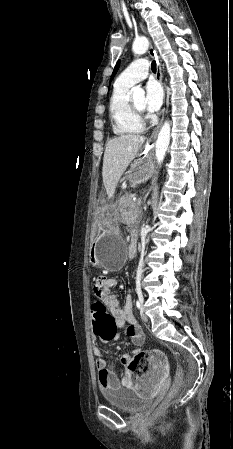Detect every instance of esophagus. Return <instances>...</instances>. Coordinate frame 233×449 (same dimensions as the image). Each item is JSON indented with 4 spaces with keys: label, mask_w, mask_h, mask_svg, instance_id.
<instances>
[{
    "label": "esophagus",
    "mask_w": 233,
    "mask_h": 449,
    "mask_svg": "<svg viewBox=\"0 0 233 449\" xmlns=\"http://www.w3.org/2000/svg\"><path fill=\"white\" fill-rule=\"evenodd\" d=\"M139 26H140V28H141L143 31H145V28H144V26L142 25V23H140ZM149 54H150V56H151V57L156 61V63H157V74H156V77H157L158 81L160 82V84L163 86L161 63H160V61H159V59H158V56H157L156 51L154 50V48H153L152 46L149 48ZM162 122H163V117H162V119L160 120V123H159L158 126L156 127L155 131L153 132V134H152L151 139H150L149 142H153L154 139L156 138L157 133H158V131H159V128H160L161 125H162Z\"/></svg>",
    "instance_id": "esophagus-1"
}]
</instances>
